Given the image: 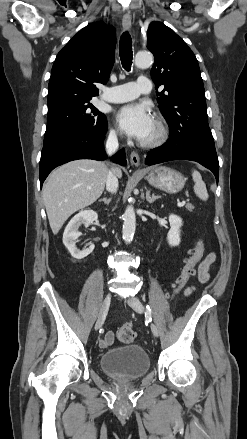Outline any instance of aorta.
<instances>
[{"mask_svg": "<svg viewBox=\"0 0 247 439\" xmlns=\"http://www.w3.org/2000/svg\"><path fill=\"white\" fill-rule=\"evenodd\" d=\"M153 63V56L149 52H138L135 56V65L139 68H147ZM123 239L130 243L136 228V216L132 205L127 206L123 215Z\"/></svg>", "mask_w": 247, "mask_h": 439, "instance_id": "aorta-1", "label": "aorta"}]
</instances>
